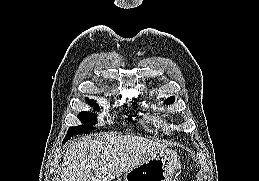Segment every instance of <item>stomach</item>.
Returning <instances> with one entry per match:
<instances>
[{
  "instance_id": "0dacf381",
  "label": "stomach",
  "mask_w": 259,
  "mask_h": 181,
  "mask_svg": "<svg viewBox=\"0 0 259 181\" xmlns=\"http://www.w3.org/2000/svg\"><path fill=\"white\" fill-rule=\"evenodd\" d=\"M179 166V156L175 152L160 151L126 172L124 181H171Z\"/></svg>"
}]
</instances>
